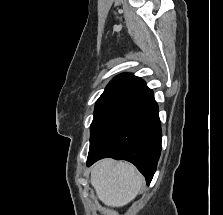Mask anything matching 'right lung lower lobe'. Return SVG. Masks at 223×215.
I'll use <instances>...</instances> for the list:
<instances>
[{"label": "right lung lower lobe", "mask_w": 223, "mask_h": 215, "mask_svg": "<svg viewBox=\"0 0 223 215\" xmlns=\"http://www.w3.org/2000/svg\"><path fill=\"white\" fill-rule=\"evenodd\" d=\"M161 123L154 96L131 110L88 154L87 166L111 157L133 163L150 184L161 153Z\"/></svg>", "instance_id": "right-lung-lower-lobe-1"}]
</instances>
